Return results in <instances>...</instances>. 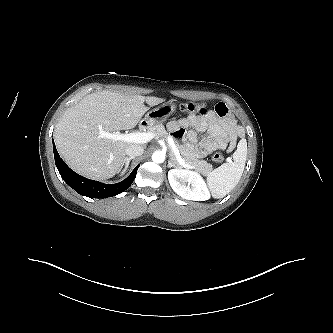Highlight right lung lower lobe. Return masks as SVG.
I'll return each mask as SVG.
<instances>
[{"label": "right lung lower lobe", "mask_w": 333, "mask_h": 333, "mask_svg": "<svg viewBox=\"0 0 333 333\" xmlns=\"http://www.w3.org/2000/svg\"><path fill=\"white\" fill-rule=\"evenodd\" d=\"M53 147L55 164L62 179L77 193L90 198H107L122 193L132 184L139 168V165H137L129 177L120 183L104 184L75 173L60 158L54 142Z\"/></svg>", "instance_id": "obj_1"}]
</instances>
